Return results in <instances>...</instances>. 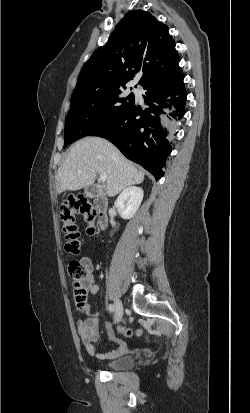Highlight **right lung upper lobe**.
Instances as JSON below:
<instances>
[{
	"label": "right lung upper lobe",
	"instance_id": "1",
	"mask_svg": "<svg viewBox=\"0 0 250 413\" xmlns=\"http://www.w3.org/2000/svg\"><path fill=\"white\" fill-rule=\"evenodd\" d=\"M179 56L166 25L149 12L125 15L104 46L84 64L73 94L125 88L138 72L139 85L180 71Z\"/></svg>",
	"mask_w": 250,
	"mask_h": 413
}]
</instances>
